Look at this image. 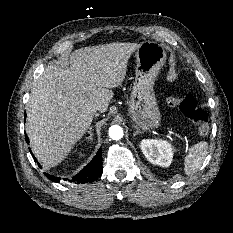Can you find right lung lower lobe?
I'll return each mask as SVG.
<instances>
[{
	"label": "right lung lower lobe",
	"instance_id": "obj_1",
	"mask_svg": "<svg viewBox=\"0 0 233 233\" xmlns=\"http://www.w3.org/2000/svg\"><path fill=\"white\" fill-rule=\"evenodd\" d=\"M25 118H26V114H25ZM25 138H26V141L28 143L29 139H28L27 135H25ZM30 152H31V150H30ZM31 155H32L34 161H37L36 158L34 157V155L32 154V152H31ZM101 174H102V151H101V149H99L96 156L93 158V160L87 166H85L76 176H74L72 178V181H74L77 184L93 182L99 176H101ZM46 176L54 182L60 181L59 177H54V176H51L48 174H46Z\"/></svg>",
	"mask_w": 233,
	"mask_h": 233
}]
</instances>
